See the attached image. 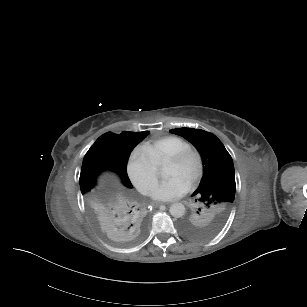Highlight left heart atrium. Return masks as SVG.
Masks as SVG:
<instances>
[{"mask_svg": "<svg viewBox=\"0 0 307 307\" xmlns=\"http://www.w3.org/2000/svg\"><path fill=\"white\" fill-rule=\"evenodd\" d=\"M190 188L189 182L181 176H170L152 183L149 196L158 201H172L182 197Z\"/></svg>", "mask_w": 307, "mask_h": 307, "instance_id": "1", "label": "left heart atrium"}]
</instances>
